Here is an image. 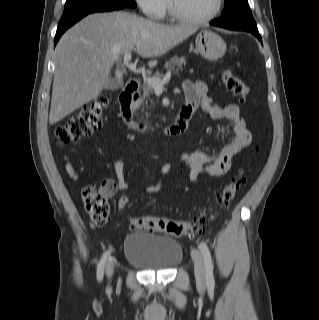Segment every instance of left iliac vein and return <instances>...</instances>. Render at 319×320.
I'll use <instances>...</instances> for the list:
<instances>
[{
	"label": "left iliac vein",
	"mask_w": 319,
	"mask_h": 320,
	"mask_svg": "<svg viewBox=\"0 0 319 320\" xmlns=\"http://www.w3.org/2000/svg\"><path fill=\"white\" fill-rule=\"evenodd\" d=\"M191 256L194 262L195 278L200 286L206 284V267L204 259L198 249L191 250Z\"/></svg>",
	"instance_id": "obj_1"
}]
</instances>
